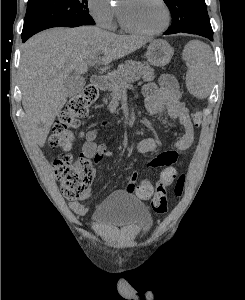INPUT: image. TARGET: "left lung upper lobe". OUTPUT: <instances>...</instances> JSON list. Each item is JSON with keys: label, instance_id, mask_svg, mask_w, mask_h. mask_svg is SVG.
Instances as JSON below:
<instances>
[{"label": "left lung upper lobe", "instance_id": "obj_1", "mask_svg": "<svg viewBox=\"0 0 245 300\" xmlns=\"http://www.w3.org/2000/svg\"><path fill=\"white\" fill-rule=\"evenodd\" d=\"M172 15L171 28L166 31L175 33L180 30L211 32V24L205 0H164Z\"/></svg>", "mask_w": 245, "mask_h": 300}]
</instances>
